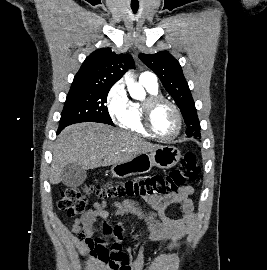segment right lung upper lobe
<instances>
[{"instance_id":"obj_1","label":"right lung upper lobe","mask_w":267,"mask_h":270,"mask_svg":"<svg viewBox=\"0 0 267 270\" xmlns=\"http://www.w3.org/2000/svg\"><path fill=\"white\" fill-rule=\"evenodd\" d=\"M129 68H134V61L131 56L115 54L109 48H101L85 59L75 75L72 85L113 86Z\"/></svg>"}]
</instances>
